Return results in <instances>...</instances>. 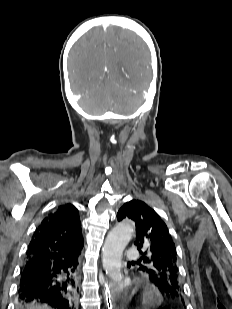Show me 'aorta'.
<instances>
[{"mask_svg": "<svg viewBox=\"0 0 232 309\" xmlns=\"http://www.w3.org/2000/svg\"><path fill=\"white\" fill-rule=\"evenodd\" d=\"M134 227L130 222L117 224L107 235L103 246L102 263L106 274L113 280L120 282L122 254L131 240Z\"/></svg>", "mask_w": 232, "mask_h": 309, "instance_id": "1", "label": "aorta"}]
</instances>
